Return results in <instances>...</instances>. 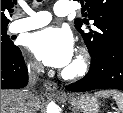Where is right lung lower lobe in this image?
Listing matches in <instances>:
<instances>
[{
	"label": "right lung lower lobe",
	"mask_w": 123,
	"mask_h": 113,
	"mask_svg": "<svg viewBox=\"0 0 123 113\" xmlns=\"http://www.w3.org/2000/svg\"><path fill=\"white\" fill-rule=\"evenodd\" d=\"M28 83V71L20 49L1 52V89H19Z\"/></svg>",
	"instance_id": "1"
}]
</instances>
